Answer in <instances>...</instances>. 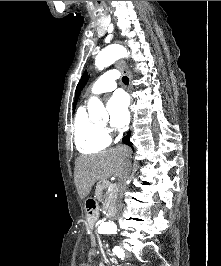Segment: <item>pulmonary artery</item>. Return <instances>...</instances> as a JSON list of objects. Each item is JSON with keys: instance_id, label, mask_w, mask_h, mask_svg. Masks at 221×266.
<instances>
[{"instance_id": "1", "label": "pulmonary artery", "mask_w": 221, "mask_h": 266, "mask_svg": "<svg viewBox=\"0 0 221 266\" xmlns=\"http://www.w3.org/2000/svg\"><path fill=\"white\" fill-rule=\"evenodd\" d=\"M117 78L118 75L113 70L103 73L93 84L90 90V96H96L105 92L113 91L117 86Z\"/></svg>"}]
</instances>
